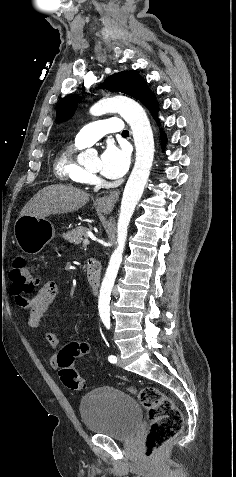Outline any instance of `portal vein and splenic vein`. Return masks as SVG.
Returning <instances> with one entry per match:
<instances>
[{
    "label": "portal vein and splenic vein",
    "mask_w": 236,
    "mask_h": 477,
    "mask_svg": "<svg viewBox=\"0 0 236 477\" xmlns=\"http://www.w3.org/2000/svg\"><path fill=\"white\" fill-rule=\"evenodd\" d=\"M89 243H90V241H89L88 238H85V239L83 240V245H84V246L88 245Z\"/></svg>",
    "instance_id": "portal-vein-and-splenic-vein-1"
}]
</instances>
